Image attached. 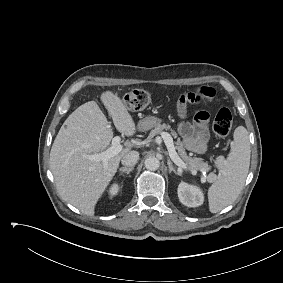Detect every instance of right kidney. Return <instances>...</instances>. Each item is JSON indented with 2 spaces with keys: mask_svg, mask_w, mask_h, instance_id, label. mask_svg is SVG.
<instances>
[{
  "mask_svg": "<svg viewBox=\"0 0 283 283\" xmlns=\"http://www.w3.org/2000/svg\"><path fill=\"white\" fill-rule=\"evenodd\" d=\"M118 190H119L118 185H117V184H113V185L111 186V188L109 189V194H110L111 196H114V195H116V194L118 193Z\"/></svg>",
  "mask_w": 283,
  "mask_h": 283,
  "instance_id": "right-kidney-1",
  "label": "right kidney"
}]
</instances>
